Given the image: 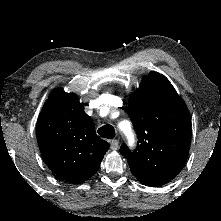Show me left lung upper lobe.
I'll list each match as a JSON object with an SVG mask.
<instances>
[{
	"label": "left lung upper lobe",
	"instance_id": "obj_1",
	"mask_svg": "<svg viewBox=\"0 0 221 221\" xmlns=\"http://www.w3.org/2000/svg\"><path fill=\"white\" fill-rule=\"evenodd\" d=\"M128 114L138 137L136 151L123 144L132 174L144 185L170 182L181 171L191 143V120L169 80L150 72L129 97Z\"/></svg>",
	"mask_w": 221,
	"mask_h": 221
}]
</instances>
